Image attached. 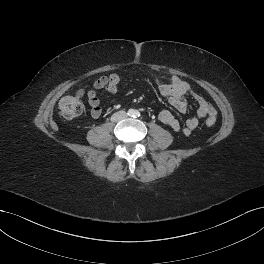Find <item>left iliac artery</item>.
<instances>
[{
  "instance_id": "44dca946",
  "label": "left iliac artery",
  "mask_w": 264,
  "mask_h": 264,
  "mask_svg": "<svg viewBox=\"0 0 264 264\" xmlns=\"http://www.w3.org/2000/svg\"><path fill=\"white\" fill-rule=\"evenodd\" d=\"M139 116H140V112L139 111H135L134 117H139Z\"/></svg>"
}]
</instances>
